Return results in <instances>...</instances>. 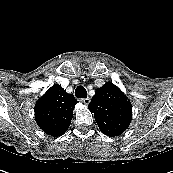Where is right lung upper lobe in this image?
<instances>
[{"label":"right lung upper lobe","mask_w":173,"mask_h":173,"mask_svg":"<svg viewBox=\"0 0 173 173\" xmlns=\"http://www.w3.org/2000/svg\"><path fill=\"white\" fill-rule=\"evenodd\" d=\"M77 100L58 84H54L36 102L35 119L48 135L57 137L67 131L73 117Z\"/></svg>","instance_id":"right-lung-upper-lobe-1"}]
</instances>
